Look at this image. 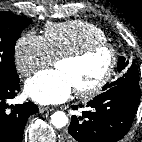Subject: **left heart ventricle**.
I'll list each match as a JSON object with an SVG mask.
<instances>
[{
	"label": "left heart ventricle",
	"instance_id": "b2bd125f",
	"mask_svg": "<svg viewBox=\"0 0 142 142\" xmlns=\"http://www.w3.org/2000/svg\"><path fill=\"white\" fill-rule=\"evenodd\" d=\"M109 61L108 52L100 50L81 61H58L56 68L69 76L74 88H82L97 82L107 70Z\"/></svg>",
	"mask_w": 142,
	"mask_h": 142
}]
</instances>
